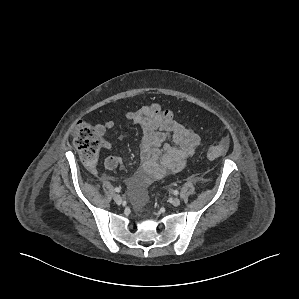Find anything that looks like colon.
I'll return each instance as SVG.
<instances>
[{
    "instance_id": "obj_1",
    "label": "colon",
    "mask_w": 299,
    "mask_h": 299,
    "mask_svg": "<svg viewBox=\"0 0 299 299\" xmlns=\"http://www.w3.org/2000/svg\"><path fill=\"white\" fill-rule=\"evenodd\" d=\"M154 112L160 114L167 121H177L175 114L169 110L160 107L157 104L151 105ZM74 144L82 158L84 164L94 169L98 161V155L103 145V138L98 131L89 123L78 121L75 125ZM229 143L227 140H219L213 143L208 149L209 158H218L225 155L228 151Z\"/></svg>"
}]
</instances>
